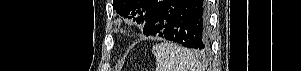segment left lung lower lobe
Returning <instances> with one entry per match:
<instances>
[{"label": "left lung lower lobe", "instance_id": "obj_1", "mask_svg": "<svg viewBox=\"0 0 301 71\" xmlns=\"http://www.w3.org/2000/svg\"><path fill=\"white\" fill-rule=\"evenodd\" d=\"M143 33L206 50L209 46L207 3L205 0H161L144 22Z\"/></svg>", "mask_w": 301, "mask_h": 71}]
</instances>
